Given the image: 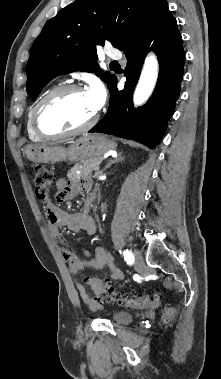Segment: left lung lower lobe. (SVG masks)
I'll return each mask as SVG.
<instances>
[{
  "label": "left lung lower lobe",
  "mask_w": 221,
  "mask_h": 379,
  "mask_svg": "<svg viewBox=\"0 0 221 379\" xmlns=\"http://www.w3.org/2000/svg\"><path fill=\"white\" fill-rule=\"evenodd\" d=\"M149 50H153L158 56V82L150 100L144 106L134 109L132 93ZM122 51L128 59L124 89L118 91L117 78L108 86L109 109L89 132L136 140L153 149L160 141L167 121L173 115L175 101L180 94L185 62L182 37L165 0L161 2L147 26L130 38Z\"/></svg>",
  "instance_id": "1"
}]
</instances>
